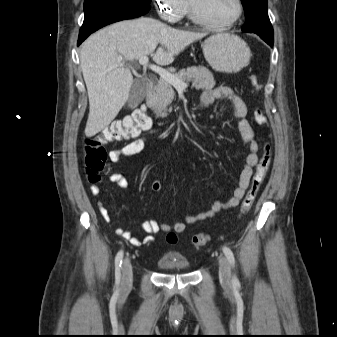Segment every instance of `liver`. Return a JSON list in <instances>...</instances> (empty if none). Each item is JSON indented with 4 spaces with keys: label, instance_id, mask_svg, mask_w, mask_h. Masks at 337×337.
<instances>
[{
    "label": "liver",
    "instance_id": "1",
    "mask_svg": "<svg viewBox=\"0 0 337 337\" xmlns=\"http://www.w3.org/2000/svg\"><path fill=\"white\" fill-rule=\"evenodd\" d=\"M202 37V33L178 30L147 17L114 23L91 35L80 52L89 97L86 136L106 128L128 100L134 80L128 67L118 65L120 58L133 61L152 55L158 65H169Z\"/></svg>",
    "mask_w": 337,
    "mask_h": 337
}]
</instances>
